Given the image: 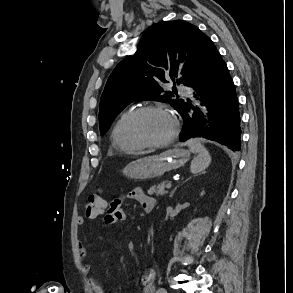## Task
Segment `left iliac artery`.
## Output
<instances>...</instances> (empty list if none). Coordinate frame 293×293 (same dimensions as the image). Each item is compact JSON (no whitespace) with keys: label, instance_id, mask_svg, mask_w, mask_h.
Listing matches in <instances>:
<instances>
[{"label":"left iliac artery","instance_id":"1","mask_svg":"<svg viewBox=\"0 0 293 293\" xmlns=\"http://www.w3.org/2000/svg\"><path fill=\"white\" fill-rule=\"evenodd\" d=\"M157 293H167V291L164 288L158 289Z\"/></svg>","mask_w":293,"mask_h":293}]
</instances>
